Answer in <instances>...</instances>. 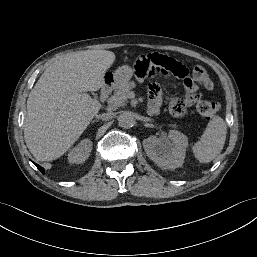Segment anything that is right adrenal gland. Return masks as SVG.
<instances>
[{"instance_id": "1", "label": "right adrenal gland", "mask_w": 257, "mask_h": 257, "mask_svg": "<svg viewBox=\"0 0 257 257\" xmlns=\"http://www.w3.org/2000/svg\"><path fill=\"white\" fill-rule=\"evenodd\" d=\"M98 122V120H93L91 123Z\"/></svg>"}]
</instances>
